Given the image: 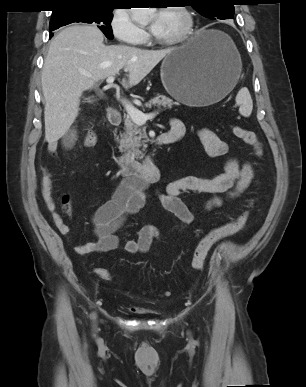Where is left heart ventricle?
I'll list each match as a JSON object with an SVG mask.
<instances>
[{
	"instance_id": "obj_1",
	"label": "left heart ventricle",
	"mask_w": 306,
	"mask_h": 387,
	"mask_svg": "<svg viewBox=\"0 0 306 387\" xmlns=\"http://www.w3.org/2000/svg\"><path fill=\"white\" fill-rule=\"evenodd\" d=\"M160 18V29L155 34L159 39H168L179 34L184 26L182 15L176 10H161L152 19Z\"/></svg>"
}]
</instances>
